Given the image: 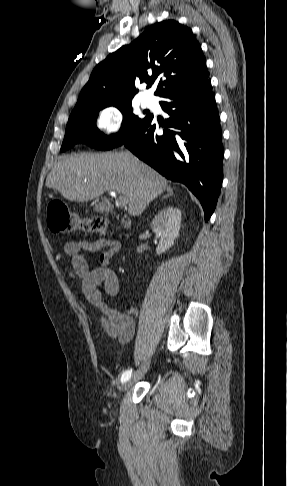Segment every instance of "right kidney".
Wrapping results in <instances>:
<instances>
[{"label": "right kidney", "mask_w": 287, "mask_h": 486, "mask_svg": "<svg viewBox=\"0 0 287 486\" xmlns=\"http://www.w3.org/2000/svg\"><path fill=\"white\" fill-rule=\"evenodd\" d=\"M181 223V211L174 207H166L158 212L151 222V229L160 236L156 248L157 255L166 252L174 244L179 236Z\"/></svg>", "instance_id": "obj_1"}]
</instances>
